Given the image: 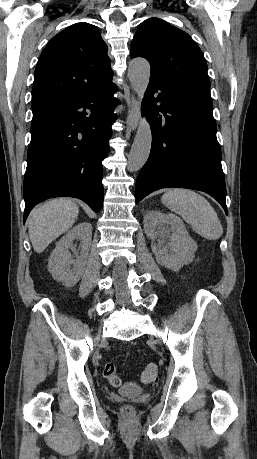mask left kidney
I'll return each instance as SVG.
<instances>
[{
	"mask_svg": "<svg viewBox=\"0 0 257 459\" xmlns=\"http://www.w3.org/2000/svg\"><path fill=\"white\" fill-rule=\"evenodd\" d=\"M143 224L146 235L152 241L158 239L151 247L160 265L178 271L193 261L197 244L178 216L155 210L144 216ZM167 240L169 242L163 245Z\"/></svg>",
	"mask_w": 257,
	"mask_h": 459,
	"instance_id": "left-kidney-1",
	"label": "left kidney"
}]
</instances>
